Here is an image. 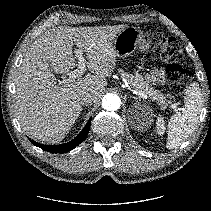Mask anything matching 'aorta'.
<instances>
[{
  "mask_svg": "<svg viewBox=\"0 0 211 211\" xmlns=\"http://www.w3.org/2000/svg\"><path fill=\"white\" fill-rule=\"evenodd\" d=\"M121 100L117 94L108 93L102 99V107L108 111H116L120 108Z\"/></svg>",
  "mask_w": 211,
  "mask_h": 211,
  "instance_id": "1",
  "label": "aorta"
}]
</instances>
